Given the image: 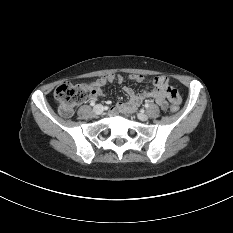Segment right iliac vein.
Wrapping results in <instances>:
<instances>
[{"label": "right iliac vein", "mask_w": 233, "mask_h": 233, "mask_svg": "<svg viewBox=\"0 0 233 233\" xmlns=\"http://www.w3.org/2000/svg\"><path fill=\"white\" fill-rule=\"evenodd\" d=\"M93 110L96 114H101L103 112L104 108L102 105L98 104L93 108Z\"/></svg>", "instance_id": "right-iliac-vein-1"}]
</instances>
